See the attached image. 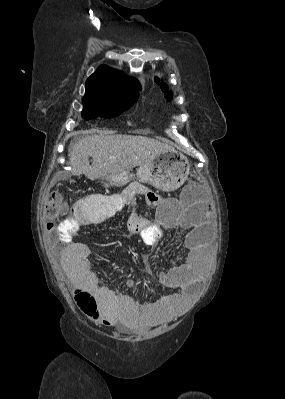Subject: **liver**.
Returning a JSON list of instances; mask_svg holds the SVG:
<instances>
[{
	"label": "liver",
	"mask_w": 285,
	"mask_h": 399,
	"mask_svg": "<svg viewBox=\"0 0 285 399\" xmlns=\"http://www.w3.org/2000/svg\"><path fill=\"white\" fill-rule=\"evenodd\" d=\"M171 149L170 145L149 137L102 133L75 143L69 152V164L73 175L117 178L149 162L159 152ZM89 157L93 159L91 165Z\"/></svg>",
	"instance_id": "6515ba94"
}]
</instances>
